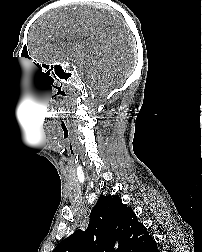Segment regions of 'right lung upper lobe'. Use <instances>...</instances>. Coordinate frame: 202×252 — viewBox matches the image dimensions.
Wrapping results in <instances>:
<instances>
[{"instance_id": "obj_1", "label": "right lung upper lobe", "mask_w": 202, "mask_h": 252, "mask_svg": "<svg viewBox=\"0 0 202 252\" xmlns=\"http://www.w3.org/2000/svg\"><path fill=\"white\" fill-rule=\"evenodd\" d=\"M154 243L132 208L108 195L93 207L87 230L75 231L53 252H147Z\"/></svg>"}]
</instances>
